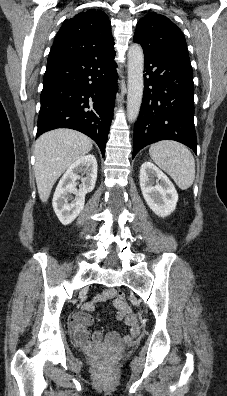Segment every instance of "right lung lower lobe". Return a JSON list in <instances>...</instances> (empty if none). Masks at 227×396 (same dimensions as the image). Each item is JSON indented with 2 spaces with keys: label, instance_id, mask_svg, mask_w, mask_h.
I'll use <instances>...</instances> for the list:
<instances>
[{
  "label": "right lung lower lobe",
  "instance_id": "1",
  "mask_svg": "<svg viewBox=\"0 0 227 396\" xmlns=\"http://www.w3.org/2000/svg\"><path fill=\"white\" fill-rule=\"evenodd\" d=\"M114 57L112 46L47 65L36 138L56 128L75 129L92 138L104 156L117 92Z\"/></svg>",
  "mask_w": 227,
  "mask_h": 396
}]
</instances>
